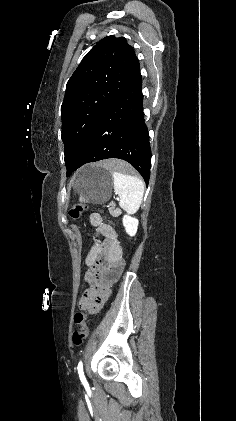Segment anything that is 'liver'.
Returning a JSON list of instances; mask_svg holds the SVG:
<instances>
[{"mask_svg":"<svg viewBox=\"0 0 236 421\" xmlns=\"http://www.w3.org/2000/svg\"><path fill=\"white\" fill-rule=\"evenodd\" d=\"M109 162H116V160H111V158H108V160H101L100 166H109Z\"/></svg>","mask_w":236,"mask_h":421,"instance_id":"6515ba94","label":"liver"}]
</instances>
